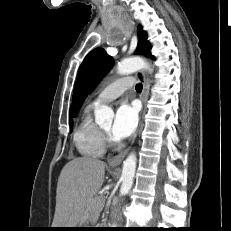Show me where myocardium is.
Returning <instances> with one entry per match:
<instances>
[{
    "mask_svg": "<svg viewBox=\"0 0 231 231\" xmlns=\"http://www.w3.org/2000/svg\"><path fill=\"white\" fill-rule=\"evenodd\" d=\"M101 135L105 146H114L115 142L108 132L100 128Z\"/></svg>",
    "mask_w": 231,
    "mask_h": 231,
    "instance_id": "myocardium-1",
    "label": "myocardium"
}]
</instances>
